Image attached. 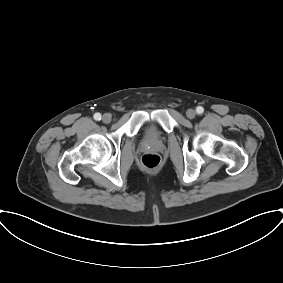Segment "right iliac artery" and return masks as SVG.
<instances>
[{
	"label": "right iliac artery",
	"instance_id": "right-iliac-artery-1",
	"mask_svg": "<svg viewBox=\"0 0 283 283\" xmlns=\"http://www.w3.org/2000/svg\"><path fill=\"white\" fill-rule=\"evenodd\" d=\"M94 119L97 120V121L101 120V114L100 113H95L94 114Z\"/></svg>",
	"mask_w": 283,
	"mask_h": 283
}]
</instances>
